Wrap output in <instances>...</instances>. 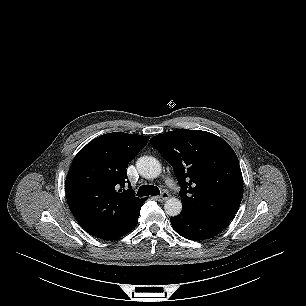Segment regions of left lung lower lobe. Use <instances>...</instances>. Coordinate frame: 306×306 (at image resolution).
Returning a JSON list of instances; mask_svg holds the SVG:
<instances>
[{
	"label": "left lung lower lobe",
	"mask_w": 306,
	"mask_h": 306,
	"mask_svg": "<svg viewBox=\"0 0 306 306\" xmlns=\"http://www.w3.org/2000/svg\"><path fill=\"white\" fill-rule=\"evenodd\" d=\"M170 221L181 236L194 241L218 235L230 222L225 219L192 214L185 210L171 218Z\"/></svg>",
	"instance_id": "left-lung-lower-lobe-1"
}]
</instances>
